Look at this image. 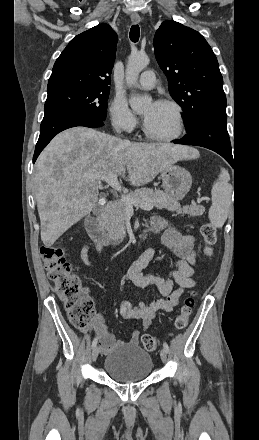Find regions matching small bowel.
Instances as JSON below:
<instances>
[{"instance_id":"1","label":"small bowel","mask_w":259,"mask_h":440,"mask_svg":"<svg viewBox=\"0 0 259 440\" xmlns=\"http://www.w3.org/2000/svg\"><path fill=\"white\" fill-rule=\"evenodd\" d=\"M159 228L164 227L166 231L162 236V247L168 251L172 257L173 269L167 278L156 274L144 275L142 273L148 264L158 254V248L147 249L128 269L121 281L122 291L128 285H135L140 288L154 286L163 296L153 302L139 301L133 304L129 300H124L120 305V315L125 319H133L141 322L142 328L146 330L154 319L158 311L171 312L180 302L181 296L186 289L196 284L194 279L195 265L197 262V252L194 245V238L190 234L182 233L173 223L163 217H153ZM97 252L100 253L107 245L96 242ZM89 246L84 245L79 252L80 258L85 265H93V261L88 255ZM97 332L99 338V348L102 353H107L115 347L123 344L116 340L110 333L101 316L96 317L92 327L86 331ZM140 331L134 330L130 336L129 344L138 345Z\"/></svg>"}]
</instances>
